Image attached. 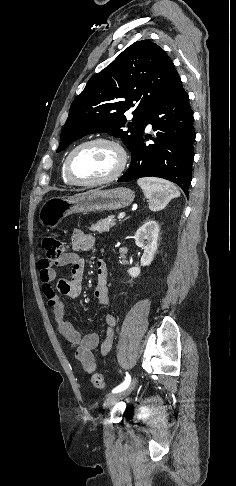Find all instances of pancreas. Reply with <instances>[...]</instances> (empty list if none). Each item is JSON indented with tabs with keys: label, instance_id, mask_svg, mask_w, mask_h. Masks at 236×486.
<instances>
[{
	"label": "pancreas",
	"instance_id": "cf45deb5",
	"mask_svg": "<svg viewBox=\"0 0 236 486\" xmlns=\"http://www.w3.org/2000/svg\"><path fill=\"white\" fill-rule=\"evenodd\" d=\"M116 225V219L114 215H110L104 219L99 220L93 224L90 228L93 232L103 233L108 232L112 227Z\"/></svg>",
	"mask_w": 236,
	"mask_h": 486
}]
</instances>
